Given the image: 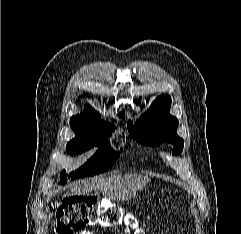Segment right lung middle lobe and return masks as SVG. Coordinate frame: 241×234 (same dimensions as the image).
<instances>
[{
	"label": "right lung middle lobe",
	"instance_id": "right-lung-middle-lobe-1",
	"mask_svg": "<svg viewBox=\"0 0 241 234\" xmlns=\"http://www.w3.org/2000/svg\"><path fill=\"white\" fill-rule=\"evenodd\" d=\"M72 129L75 132V138L68 142L66 147V150L70 155L81 154L97 145H101V147L96 154H94L76 171L67 175L65 170H63L61 173V184L67 182V177L75 179L78 177L93 176L104 172L108 170L120 156V152L113 151L108 143L110 131H85L74 127H72Z\"/></svg>",
	"mask_w": 241,
	"mask_h": 234
}]
</instances>
